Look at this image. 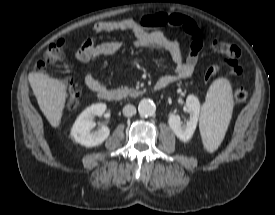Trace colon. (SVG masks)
<instances>
[{
  "mask_svg": "<svg viewBox=\"0 0 275 215\" xmlns=\"http://www.w3.org/2000/svg\"><path fill=\"white\" fill-rule=\"evenodd\" d=\"M165 22L172 26L181 27L189 34L196 32L194 22L182 15L167 16ZM213 49L224 56V61L222 64L212 66L206 70L204 74L206 81L213 79L221 72H226L231 75H240L242 73V66L240 64L241 51L238 47L223 41H215L213 43ZM65 51L64 40H58L50 44L44 52L43 58L36 63L35 70L42 72L45 70L47 64L62 60L65 56ZM235 98L238 101H246L248 92L243 88H238L235 91ZM79 102L80 88L77 84L69 82L66 87L65 108L67 110H74L78 107Z\"/></svg>",
  "mask_w": 275,
  "mask_h": 215,
  "instance_id": "colon-1",
  "label": "colon"
}]
</instances>
